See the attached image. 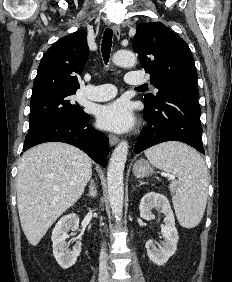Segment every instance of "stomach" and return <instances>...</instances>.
<instances>
[{
    "instance_id": "obj_1",
    "label": "stomach",
    "mask_w": 232,
    "mask_h": 282,
    "mask_svg": "<svg viewBox=\"0 0 232 282\" xmlns=\"http://www.w3.org/2000/svg\"><path fill=\"white\" fill-rule=\"evenodd\" d=\"M153 172V168L147 162H139L133 167V173L138 178L149 176Z\"/></svg>"
}]
</instances>
